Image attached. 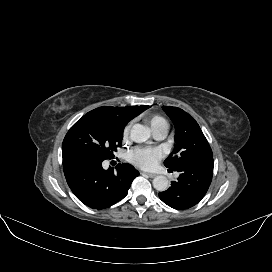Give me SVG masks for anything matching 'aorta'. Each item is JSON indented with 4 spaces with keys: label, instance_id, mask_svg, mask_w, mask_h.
I'll return each instance as SVG.
<instances>
[{
    "label": "aorta",
    "instance_id": "aorta-1",
    "mask_svg": "<svg viewBox=\"0 0 272 272\" xmlns=\"http://www.w3.org/2000/svg\"><path fill=\"white\" fill-rule=\"evenodd\" d=\"M151 136L150 129L141 124H135L130 132L131 140L136 143L146 142ZM169 181L167 177L159 175L153 179V187L158 191H165L168 189Z\"/></svg>",
    "mask_w": 272,
    "mask_h": 272
}]
</instances>
